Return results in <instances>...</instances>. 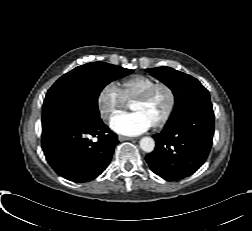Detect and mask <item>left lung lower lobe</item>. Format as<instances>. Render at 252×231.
I'll return each instance as SVG.
<instances>
[{"label": "left lung lower lobe", "instance_id": "0a47b994", "mask_svg": "<svg viewBox=\"0 0 252 231\" xmlns=\"http://www.w3.org/2000/svg\"><path fill=\"white\" fill-rule=\"evenodd\" d=\"M212 106L192 107L182 111L154 135L155 150L146 155L151 170L174 181L197 171L205 162L214 134Z\"/></svg>", "mask_w": 252, "mask_h": 231}]
</instances>
